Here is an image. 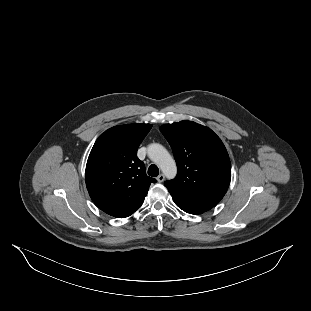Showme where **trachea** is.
I'll return each instance as SVG.
<instances>
[{
	"label": "trachea",
	"instance_id": "obj_1",
	"mask_svg": "<svg viewBox=\"0 0 311 311\" xmlns=\"http://www.w3.org/2000/svg\"><path fill=\"white\" fill-rule=\"evenodd\" d=\"M159 174V169L156 165L152 164L148 168V175L152 177H156Z\"/></svg>",
	"mask_w": 311,
	"mask_h": 311
}]
</instances>
